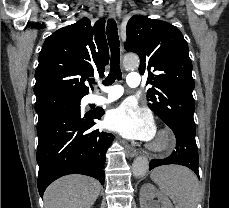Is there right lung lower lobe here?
Wrapping results in <instances>:
<instances>
[{"label": "right lung lower lobe", "instance_id": "right-lung-lower-lobe-1", "mask_svg": "<svg viewBox=\"0 0 229 208\" xmlns=\"http://www.w3.org/2000/svg\"><path fill=\"white\" fill-rule=\"evenodd\" d=\"M103 113L100 107L84 115L80 109H71L37 127V185L41 197L49 184L67 174L88 175L104 184L105 153L112 138L99 130L89 131L94 119H100Z\"/></svg>", "mask_w": 229, "mask_h": 208}]
</instances>
